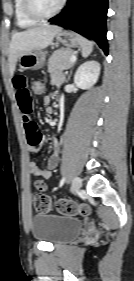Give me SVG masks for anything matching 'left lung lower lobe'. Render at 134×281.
Returning <instances> with one entry per match:
<instances>
[{
    "label": "left lung lower lobe",
    "mask_w": 134,
    "mask_h": 281,
    "mask_svg": "<svg viewBox=\"0 0 134 281\" xmlns=\"http://www.w3.org/2000/svg\"><path fill=\"white\" fill-rule=\"evenodd\" d=\"M107 4L108 0H69L66 9L49 22L91 37L107 55Z\"/></svg>",
    "instance_id": "0a47b994"
}]
</instances>
